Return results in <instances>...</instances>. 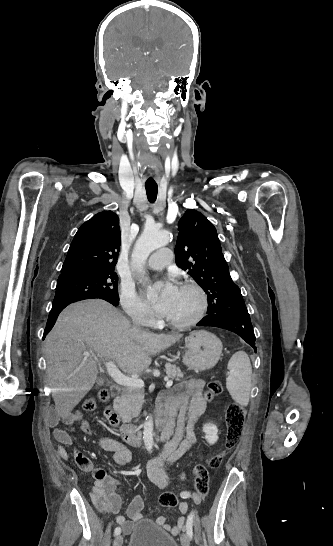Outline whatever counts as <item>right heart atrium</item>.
<instances>
[{"label":"right heart atrium","mask_w":333,"mask_h":546,"mask_svg":"<svg viewBox=\"0 0 333 546\" xmlns=\"http://www.w3.org/2000/svg\"><path fill=\"white\" fill-rule=\"evenodd\" d=\"M120 302L124 311L132 320L144 324H150L154 321L151 311L137 295L132 285L121 284Z\"/></svg>","instance_id":"right-heart-atrium-1"}]
</instances>
